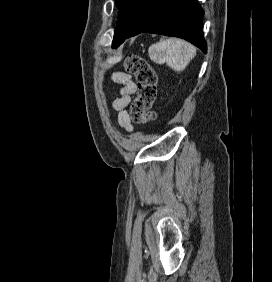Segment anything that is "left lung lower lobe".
Returning <instances> with one entry per match:
<instances>
[{
	"instance_id": "obj_1",
	"label": "left lung lower lobe",
	"mask_w": 272,
	"mask_h": 282,
	"mask_svg": "<svg viewBox=\"0 0 272 282\" xmlns=\"http://www.w3.org/2000/svg\"><path fill=\"white\" fill-rule=\"evenodd\" d=\"M203 15L197 0H125L119 8L112 47L148 32L186 39L206 53Z\"/></svg>"
}]
</instances>
